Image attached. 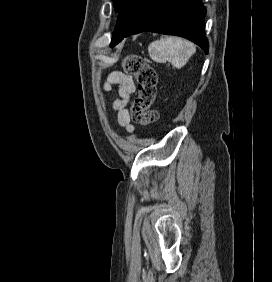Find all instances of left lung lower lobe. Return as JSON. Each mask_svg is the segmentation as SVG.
I'll return each instance as SVG.
<instances>
[{
  "mask_svg": "<svg viewBox=\"0 0 272 282\" xmlns=\"http://www.w3.org/2000/svg\"><path fill=\"white\" fill-rule=\"evenodd\" d=\"M205 14L201 0H125L118 10L110 47L124 37L149 31L187 38L208 53Z\"/></svg>",
  "mask_w": 272,
  "mask_h": 282,
  "instance_id": "obj_1",
  "label": "left lung lower lobe"
}]
</instances>
